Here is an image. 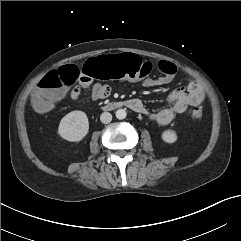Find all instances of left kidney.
I'll use <instances>...</instances> for the list:
<instances>
[{"label": "left kidney", "instance_id": "left-kidney-1", "mask_svg": "<svg viewBox=\"0 0 241 241\" xmlns=\"http://www.w3.org/2000/svg\"><path fill=\"white\" fill-rule=\"evenodd\" d=\"M161 137H162V140L166 143H174L177 141V134L173 130L163 131Z\"/></svg>", "mask_w": 241, "mask_h": 241}]
</instances>
